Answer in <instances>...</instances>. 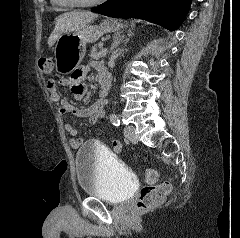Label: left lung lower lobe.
<instances>
[{"label": "left lung lower lobe", "mask_w": 240, "mask_h": 238, "mask_svg": "<svg viewBox=\"0 0 240 238\" xmlns=\"http://www.w3.org/2000/svg\"><path fill=\"white\" fill-rule=\"evenodd\" d=\"M192 0H107L93 12L113 18H139L171 31L177 29Z\"/></svg>", "instance_id": "obj_1"}]
</instances>
